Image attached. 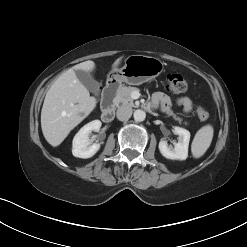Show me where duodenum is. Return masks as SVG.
Listing matches in <instances>:
<instances>
[{
    "mask_svg": "<svg viewBox=\"0 0 247 247\" xmlns=\"http://www.w3.org/2000/svg\"><path fill=\"white\" fill-rule=\"evenodd\" d=\"M118 88V83L114 80L108 81L106 84L101 100V117L104 122H111L114 118L115 109V94Z\"/></svg>",
    "mask_w": 247,
    "mask_h": 247,
    "instance_id": "410a0bca",
    "label": "duodenum"
}]
</instances>
